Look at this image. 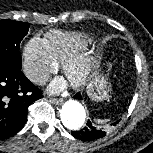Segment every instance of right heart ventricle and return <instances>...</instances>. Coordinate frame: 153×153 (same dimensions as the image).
Segmentation results:
<instances>
[{
    "label": "right heart ventricle",
    "instance_id": "obj_1",
    "mask_svg": "<svg viewBox=\"0 0 153 153\" xmlns=\"http://www.w3.org/2000/svg\"><path fill=\"white\" fill-rule=\"evenodd\" d=\"M44 40L57 63H64L78 55L91 43L90 37L85 33L59 30L47 33Z\"/></svg>",
    "mask_w": 153,
    "mask_h": 153
}]
</instances>
